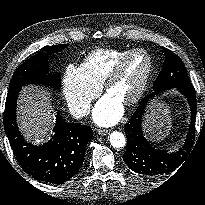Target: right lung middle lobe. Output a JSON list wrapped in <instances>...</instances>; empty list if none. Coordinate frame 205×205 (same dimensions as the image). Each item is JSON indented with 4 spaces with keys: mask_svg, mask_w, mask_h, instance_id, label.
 <instances>
[{
    "mask_svg": "<svg viewBox=\"0 0 205 205\" xmlns=\"http://www.w3.org/2000/svg\"><path fill=\"white\" fill-rule=\"evenodd\" d=\"M69 44L45 46L41 50L20 65L12 76L9 90L20 88L26 84H47L58 89L60 75L48 74V55L64 50Z\"/></svg>",
    "mask_w": 205,
    "mask_h": 205,
    "instance_id": "dd1d6c3e",
    "label": "right lung middle lobe"
}]
</instances>
